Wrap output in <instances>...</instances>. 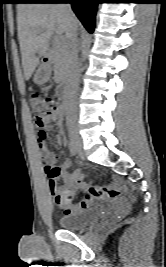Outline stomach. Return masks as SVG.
<instances>
[{"label":"stomach","mask_w":166,"mask_h":267,"mask_svg":"<svg viewBox=\"0 0 166 267\" xmlns=\"http://www.w3.org/2000/svg\"><path fill=\"white\" fill-rule=\"evenodd\" d=\"M51 76V70L48 65H41L38 67V69L35 71L33 76V81L37 85H43L47 83Z\"/></svg>","instance_id":"stomach-1"}]
</instances>
